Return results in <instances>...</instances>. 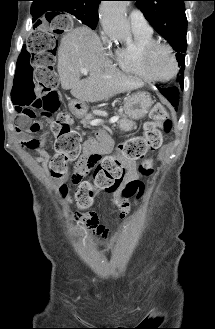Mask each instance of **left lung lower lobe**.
<instances>
[{
  "instance_id": "0a47b994",
  "label": "left lung lower lobe",
  "mask_w": 215,
  "mask_h": 329,
  "mask_svg": "<svg viewBox=\"0 0 215 329\" xmlns=\"http://www.w3.org/2000/svg\"><path fill=\"white\" fill-rule=\"evenodd\" d=\"M180 88H183V85L177 86V87H172V88H167V89H161L158 88L166 97L167 99L171 102V104L175 107L178 106V90Z\"/></svg>"
}]
</instances>
